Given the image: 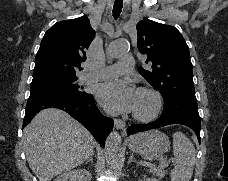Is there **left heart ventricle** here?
Listing matches in <instances>:
<instances>
[{
    "label": "left heart ventricle",
    "mask_w": 228,
    "mask_h": 181,
    "mask_svg": "<svg viewBox=\"0 0 228 181\" xmlns=\"http://www.w3.org/2000/svg\"><path fill=\"white\" fill-rule=\"evenodd\" d=\"M118 76H120L119 72H116L113 75V77H118ZM135 104H136V110L138 112L148 113L153 106V99L148 93L140 92L137 95Z\"/></svg>",
    "instance_id": "left-heart-ventricle-1"
}]
</instances>
